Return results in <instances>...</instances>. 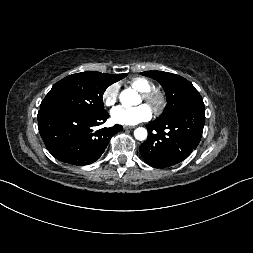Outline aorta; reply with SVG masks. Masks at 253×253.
Returning a JSON list of instances; mask_svg holds the SVG:
<instances>
[{
    "label": "aorta",
    "instance_id": "aorta-1",
    "mask_svg": "<svg viewBox=\"0 0 253 253\" xmlns=\"http://www.w3.org/2000/svg\"><path fill=\"white\" fill-rule=\"evenodd\" d=\"M120 102L124 106L137 105L140 102V97L137 91L128 88L121 92ZM134 136L137 140L143 141L147 138V130L143 127H139L135 129Z\"/></svg>",
    "mask_w": 253,
    "mask_h": 253
}]
</instances>
